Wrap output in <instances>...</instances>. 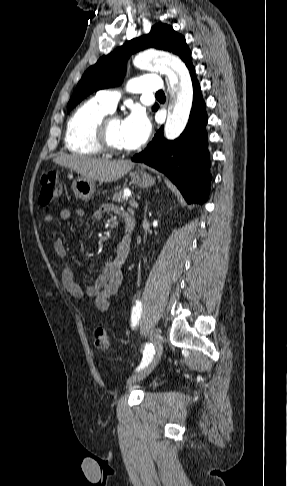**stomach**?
I'll list each match as a JSON object with an SVG mask.
<instances>
[{"instance_id": "obj_1", "label": "stomach", "mask_w": 287, "mask_h": 486, "mask_svg": "<svg viewBox=\"0 0 287 486\" xmlns=\"http://www.w3.org/2000/svg\"><path fill=\"white\" fill-rule=\"evenodd\" d=\"M129 176L132 182L141 188H149L155 184V179L142 170L130 172ZM71 188L76 197L81 200H88L95 192V180L80 177L73 181Z\"/></svg>"}]
</instances>
